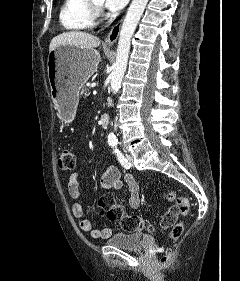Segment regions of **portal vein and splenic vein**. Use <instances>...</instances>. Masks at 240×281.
I'll use <instances>...</instances> for the list:
<instances>
[{"label":"portal vein and splenic vein","instance_id":"portal-vein-and-splenic-vein-1","mask_svg":"<svg viewBox=\"0 0 240 281\" xmlns=\"http://www.w3.org/2000/svg\"><path fill=\"white\" fill-rule=\"evenodd\" d=\"M96 86V84L95 83H93L92 85H91V87H95Z\"/></svg>","mask_w":240,"mask_h":281}]
</instances>
